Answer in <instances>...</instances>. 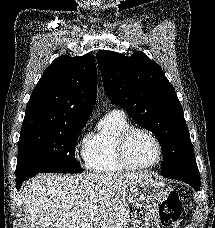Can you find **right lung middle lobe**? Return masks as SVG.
I'll list each match as a JSON object with an SVG mask.
<instances>
[{
  "mask_svg": "<svg viewBox=\"0 0 215 228\" xmlns=\"http://www.w3.org/2000/svg\"><path fill=\"white\" fill-rule=\"evenodd\" d=\"M86 123H61L21 130L16 177L44 172H82L75 158V146Z\"/></svg>",
  "mask_w": 215,
  "mask_h": 228,
  "instance_id": "1",
  "label": "right lung middle lobe"
}]
</instances>
